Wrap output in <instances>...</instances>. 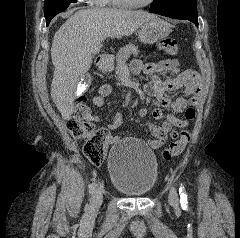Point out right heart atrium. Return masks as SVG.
<instances>
[{"label": "right heart atrium", "instance_id": "right-heart-atrium-1", "mask_svg": "<svg viewBox=\"0 0 240 238\" xmlns=\"http://www.w3.org/2000/svg\"><path fill=\"white\" fill-rule=\"evenodd\" d=\"M90 5H102L106 0H81Z\"/></svg>", "mask_w": 240, "mask_h": 238}]
</instances>
